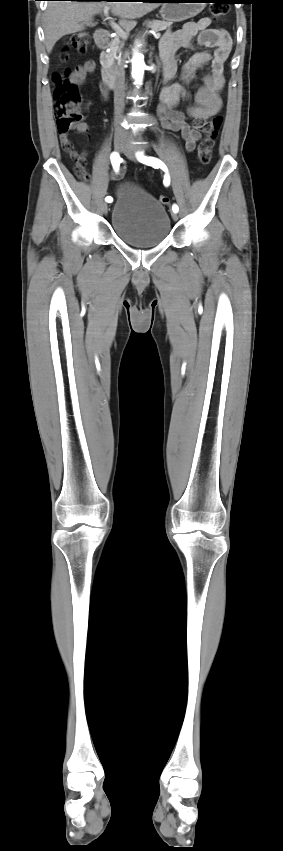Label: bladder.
Here are the masks:
<instances>
[{"mask_svg":"<svg viewBox=\"0 0 283 851\" xmlns=\"http://www.w3.org/2000/svg\"><path fill=\"white\" fill-rule=\"evenodd\" d=\"M117 237L135 248H151L168 237L171 224L165 207L134 184L121 186L111 214Z\"/></svg>","mask_w":283,"mask_h":851,"instance_id":"1","label":"bladder"}]
</instances>
